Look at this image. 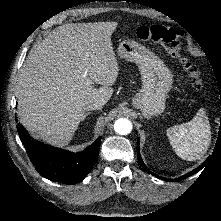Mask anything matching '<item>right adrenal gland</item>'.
Wrapping results in <instances>:
<instances>
[{
	"instance_id": "2a0ac1e0",
	"label": "right adrenal gland",
	"mask_w": 221,
	"mask_h": 221,
	"mask_svg": "<svg viewBox=\"0 0 221 221\" xmlns=\"http://www.w3.org/2000/svg\"><path fill=\"white\" fill-rule=\"evenodd\" d=\"M90 114V112L84 114L83 118H82V121Z\"/></svg>"
}]
</instances>
